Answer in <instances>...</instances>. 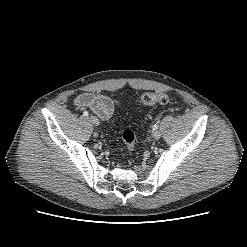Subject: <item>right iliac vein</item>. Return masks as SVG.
I'll return each mask as SVG.
<instances>
[{
	"mask_svg": "<svg viewBox=\"0 0 247 247\" xmlns=\"http://www.w3.org/2000/svg\"><path fill=\"white\" fill-rule=\"evenodd\" d=\"M89 121L94 125V126H98L99 125V120H98V118L97 117H95V116H90L89 117Z\"/></svg>",
	"mask_w": 247,
	"mask_h": 247,
	"instance_id": "63e3f726",
	"label": "right iliac vein"
}]
</instances>
